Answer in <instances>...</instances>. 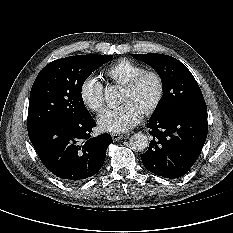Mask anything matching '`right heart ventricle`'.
<instances>
[{
    "mask_svg": "<svg viewBox=\"0 0 233 233\" xmlns=\"http://www.w3.org/2000/svg\"><path fill=\"white\" fill-rule=\"evenodd\" d=\"M145 68L130 59L122 58L111 64L105 71V76L114 84L125 86L130 79Z\"/></svg>",
    "mask_w": 233,
    "mask_h": 233,
    "instance_id": "1",
    "label": "right heart ventricle"
}]
</instances>
